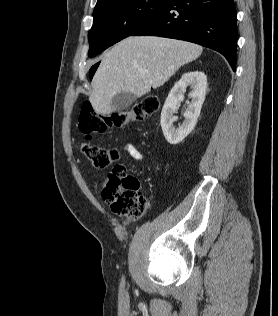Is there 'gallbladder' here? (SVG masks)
Instances as JSON below:
<instances>
[{"label": "gallbladder", "mask_w": 278, "mask_h": 316, "mask_svg": "<svg viewBox=\"0 0 278 316\" xmlns=\"http://www.w3.org/2000/svg\"><path fill=\"white\" fill-rule=\"evenodd\" d=\"M136 99L137 96L134 94L128 92L119 93L112 98V106L115 108V111L121 112L129 108Z\"/></svg>", "instance_id": "obj_1"}]
</instances>
